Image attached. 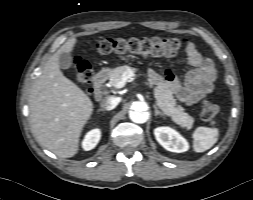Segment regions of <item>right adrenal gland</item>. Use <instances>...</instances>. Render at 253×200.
I'll return each instance as SVG.
<instances>
[{"mask_svg": "<svg viewBox=\"0 0 253 200\" xmlns=\"http://www.w3.org/2000/svg\"><path fill=\"white\" fill-rule=\"evenodd\" d=\"M98 112H104V110H103V109H100V110H98Z\"/></svg>", "mask_w": 253, "mask_h": 200, "instance_id": "2a0ac1e0", "label": "right adrenal gland"}]
</instances>
